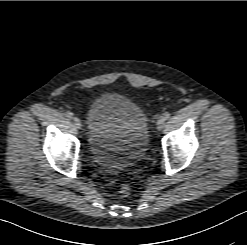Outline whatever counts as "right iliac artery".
Here are the masks:
<instances>
[{
    "instance_id": "82829eb1",
    "label": "right iliac artery",
    "mask_w": 247,
    "mask_h": 245,
    "mask_svg": "<svg viewBox=\"0 0 247 245\" xmlns=\"http://www.w3.org/2000/svg\"><path fill=\"white\" fill-rule=\"evenodd\" d=\"M66 116L71 119L73 118L74 114L71 111H67Z\"/></svg>"
}]
</instances>
